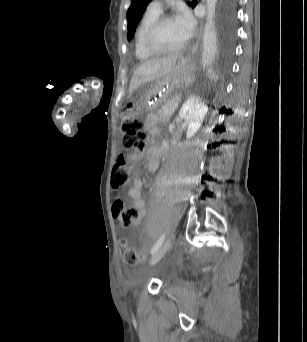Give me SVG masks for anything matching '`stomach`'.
<instances>
[{
	"instance_id": "stomach-1",
	"label": "stomach",
	"mask_w": 307,
	"mask_h": 342,
	"mask_svg": "<svg viewBox=\"0 0 307 342\" xmlns=\"http://www.w3.org/2000/svg\"><path fill=\"white\" fill-rule=\"evenodd\" d=\"M193 59L189 56H179L171 70L161 79L141 85L136 94V104L146 111L155 110L164 101L177 97L190 86L194 77Z\"/></svg>"
}]
</instances>
